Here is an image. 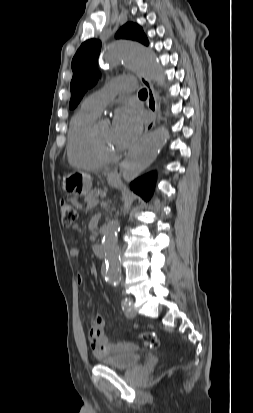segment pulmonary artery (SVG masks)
I'll list each match as a JSON object with an SVG mask.
<instances>
[{"label":"pulmonary artery","instance_id":"pulmonary-artery-1","mask_svg":"<svg viewBox=\"0 0 253 413\" xmlns=\"http://www.w3.org/2000/svg\"><path fill=\"white\" fill-rule=\"evenodd\" d=\"M133 87L122 85L118 80H112L106 86L88 96L82 106L96 114H100L103 108L121 91H131Z\"/></svg>","mask_w":253,"mask_h":413}]
</instances>
